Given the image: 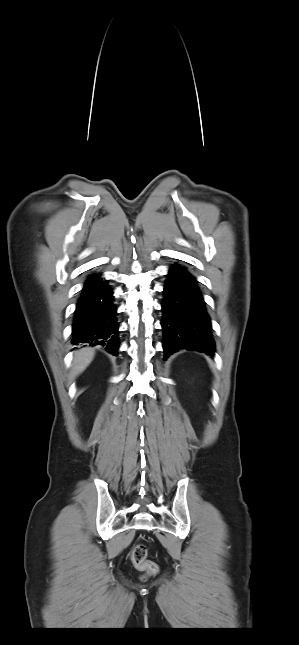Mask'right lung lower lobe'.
I'll list each match as a JSON object with an SVG mask.
<instances>
[{
	"label": "right lung lower lobe",
	"instance_id": "98d812e1",
	"mask_svg": "<svg viewBox=\"0 0 299 645\" xmlns=\"http://www.w3.org/2000/svg\"><path fill=\"white\" fill-rule=\"evenodd\" d=\"M119 325L112 288L101 274L89 275L76 305L72 325V344L101 345L118 354Z\"/></svg>",
	"mask_w": 299,
	"mask_h": 645
}]
</instances>
